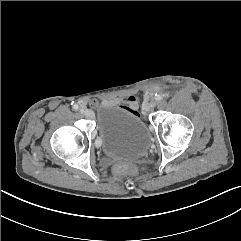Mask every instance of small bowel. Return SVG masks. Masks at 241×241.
<instances>
[{
    "instance_id": "obj_1",
    "label": "small bowel",
    "mask_w": 241,
    "mask_h": 241,
    "mask_svg": "<svg viewBox=\"0 0 241 241\" xmlns=\"http://www.w3.org/2000/svg\"><path fill=\"white\" fill-rule=\"evenodd\" d=\"M117 103L132 111V117L134 119H141L143 117V110L137 108L138 98L134 95L122 97L117 100Z\"/></svg>"
}]
</instances>
